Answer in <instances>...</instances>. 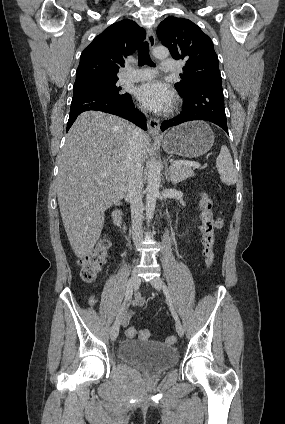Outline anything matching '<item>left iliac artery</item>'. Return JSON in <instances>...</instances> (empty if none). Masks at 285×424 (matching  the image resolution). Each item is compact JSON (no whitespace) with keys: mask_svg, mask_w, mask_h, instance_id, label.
I'll return each instance as SVG.
<instances>
[{"mask_svg":"<svg viewBox=\"0 0 285 424\" xmlns=\"http://www.w3.org/2000/svg\"><path fill=\"white\" fill-rule=\"evenodd\" d=\"M163 287H164V293H165V295H166L167 303H168V305H169V307H170V310H171L172 316L174 317V319H175L176 321H179L178 315H177V313H176V311H175V309H174V307H173V305H172V301H171V298H170L169 290H168V288L166 287V285H164Z\"/></svg>","mask_w":285,"mask_h":424,"instance_id":"left-iliac-artery-1","label":"left iliac artery"}]
</instances>
